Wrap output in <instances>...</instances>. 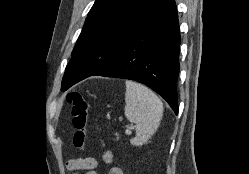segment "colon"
<instances>
[{
    "label": "colon",
    "instance_id": "5ec220e1",
    "mask_svg": "<svg viewBox=\"0 0 249 174\" xmlns=\"http://www.w3.org/2000/svg\"><path fill=\"white\" fill-rule=\"evenodd\" d=\"M67 100L72 106L73 126L75 128L73 145L78 149H83L88 134V103L84 95L78 91L69 93Z\"/></svg>",
    "mask_w": 249,
    "mask_h": 174
}]
</instances>
